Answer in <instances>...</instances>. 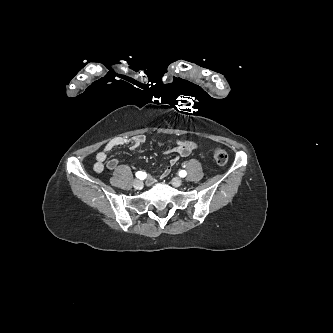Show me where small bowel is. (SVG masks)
<instances>
[{
  "instance_id": "c3829d8e",
  "label": "small bowel",
  "mask_w": 333,
  "mask_h": 333,
  "mask_svg": "<svg viewBox=\"0 0 333 333\" xmlns=\"http://www.w3.org/2000/svg\"><path fill=\"white\" fill-rule=\"evenodd\" d=\"M145 142L143 135H137L131 138L116 137L111 139L104 148L96 154V162L94 164V170L98 173L102 172L105 168L114 170L118 167L119 161L116 158L108 159V154L115 148L128 145L131 150L138 149ZM197 148L194 142L178 139L175 145L166 151V153L175 152L178 155L170 159L168 166L161 172L162 177H166L171 168L178 163L179 156H188L192 151ZM155 184V179L151 178L150 185Z\"/></svg>"
}]
</instances>
